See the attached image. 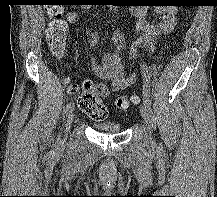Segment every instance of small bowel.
I'll return each mask as SVG.
<instances>
[{"mask_svg": "<svg viewBox=\"0 0 217 197\" xmlns=\"http://www.w3.org/2000/svg\"><path fill=\"white\" fill-rule=\"evenodd\" d=\"M156 12L160 19L157 24H150L147 22L146 13L143 9L134 8L131 10L132 15L136 18L135 27L138 38L130 50L127 47L124 35L120 32H115L111 37L115 48L114 52L105 53L101 64L95 57L90 58L94 73L101 79L111 81V92H119L136 82V74L125 75L126 66L134 58L135 51L139 47L145 46L153 52L156 39L161 35L170 33L174 28L176 8L173 5H162L156 8ZM67 20L70 23H76L79 20L78 12L74 9L70 10L67 13ZM99 40L100 35L98 32L91 33L89 37L90 47L98 45ZM122 55H127V60H123Z\"/></svg>", "mask_w": 217, "mask_h": 197, "instance_id": "small-bowel-1", "label": "small bowel"}]
</instances>
